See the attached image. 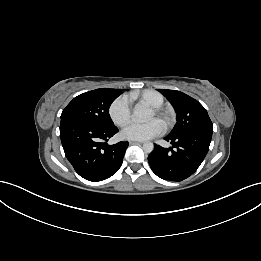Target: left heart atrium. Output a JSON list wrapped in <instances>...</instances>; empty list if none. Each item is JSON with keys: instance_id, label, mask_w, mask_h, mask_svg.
Returning a JSON list of instances; mask_svg holds the SVG:
<instances>
[{"instance_id": "39dd6f15", "label": "left heart atrium", "mask_w": 261, "mask_h": 261, "mask_svg": "<svg viewBox=\"0 0 261 261\" xmlns=\"http://www.w3.org/2000/svg\"><path fill=\"white\" fill-rule=\"evenodd\" d=\"M163 131L162 121L152 119L146 123H130L122 130V136L128 140L144 141L160 135Z\"/></svg>"}]
</instances>
